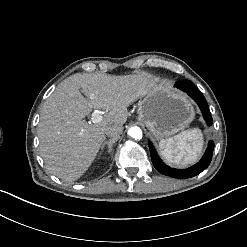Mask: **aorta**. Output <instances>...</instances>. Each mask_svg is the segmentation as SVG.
<instances>
[{
    "instance_id": "aorta-1",
    "label": "aorta",
    "mask_w": 247,
    "mask_h": 247,
    "mask_svg": "<svg viewBox=\"0 0 247 247\" xmlns=\"http://www.w3.org/2000/svg\"><path fill=\"white\" fill-rule=\"evenodd\" d=\"M142 134V130L137 126L132 127L128 130V135L133 139H141Z\"/></svg>"
}]
</instances>
